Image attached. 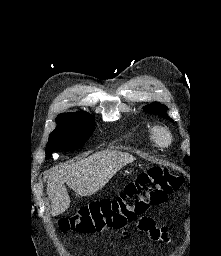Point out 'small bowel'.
Instances as JSON below:
<instances>
[{
	"label": "small bowel",
	"mask_w": 221,
	"mask_h": 256,
	"mask_svg": "<svg viewBox=\"0 0 221 256\" xmlns=\"http://www.w3.org/2000/svg\"><path fill=\"white\" fill-rule=\"evenodd\" d=\"M138 226L140 230L146 232L150 239L156 240H166L167 239V230L165 227H160L156 222L150 218L143 216L139 219Z\"/></svg>",
	"instance_id": "small-bowel-1"
}]
</instances>
